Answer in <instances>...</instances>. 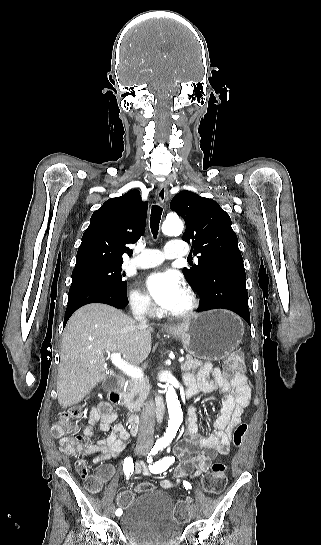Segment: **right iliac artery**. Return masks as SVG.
Here are the masks:
<instances>
[{
    "mask_svg": "<svg viewBox=\"0 0 321 545\" xmlns=\"http://www.w3.org/2000/svg\"><path fill=\"white\" fill-rule=\"evenodd\" d=\"M123 470L127 479L129 478L131 474H133L134 464H133V459L131 457H127L124 459ZM120 513L121 511L119 509L116 510L115 512L116 515H119Z\"/></svg>",
    "mask_w": 321,
    "mask_h": 545,
    "instance_id": "right-iliac-artery-1",
    "label": "right iliac artery"
}]
</instances>
